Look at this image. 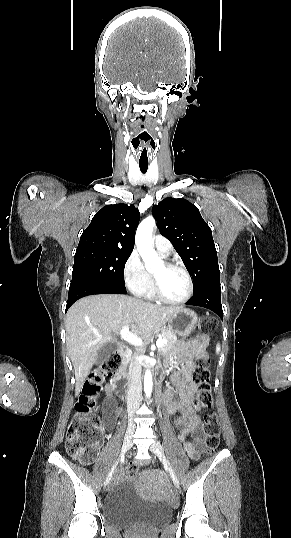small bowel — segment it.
<instances>
[{
  "label": "small bowel",
  "instance_id": "obj_1",
  "mask_svg": "<svg viewBox=\"0 0 291 538\" xmlns=\"http://www.w3.org/2000/svg\"><path fill=\"white\" fill-rule=\"evenodd\" d=\"M202 339L196 344L186 349L177 359V366L172 377L173 384L178 390L180 401L174 400L175 395L171 390H167L159 396V400L164 412L173 415L179 412L175 423L180 428L178 434L184 450L192 460H197L204 449L205 433L201 420L197 414L199 406L192 405L196 393V385L191 381L193 369V357L199 351ZM115 383L111 381L106 385L105 418L104 424L111 428L115 423V416L120 415L123 409L115 400Z\"/></svg>",
  "mask_w": 291,
  "mask_h": 538
}]
</instances>
